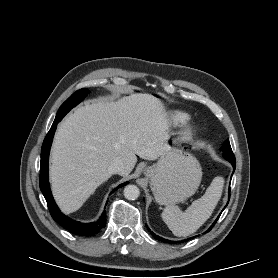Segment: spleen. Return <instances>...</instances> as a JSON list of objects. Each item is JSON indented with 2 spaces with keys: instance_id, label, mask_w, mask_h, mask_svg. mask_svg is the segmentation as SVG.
<instances>
[{
  "instance_id": "3e777b00",
  "label": "spleen",
  "mask_w": 278,
  "mask_h": 278,
  "mask_svg": "<svg viewBox=\"0 0 278 278\" xmlns=\"http://www.w3.org/2000/svg\"><path fill=\"white\" fill-rule=\"evenodd\" d=\"M224 179L215 177L205 194L192 202L185 212L177 206L164 208L161 217L175 236H188L196 232L212 215L220 200Z\"/></svg>"
}]
</instances>
